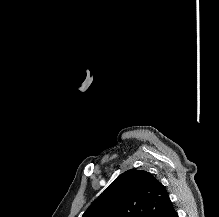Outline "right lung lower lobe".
Wrapping results in <instances>:
<instances>
[{"instance_id":"98d812e1","label":"right lung lower lobe","mask_w":219,"mask_h":217,"mask_svg":"<svg viewBox=\"0 0 219 217\" xmlns=\"http://www.w3.org/2000/svg\"><path fill=\"white\" fill-rule=\"evenodd\" d=\"M167 217H178L177 212L175 211V209L173 208L169 214L167 215Z\"/></svg>"}]
</instances>
